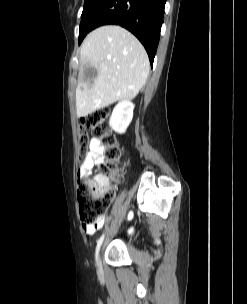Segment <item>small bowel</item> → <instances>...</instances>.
<instances>
[{
	"mask_svg": "<svg viewBox=\"0 0 247 304\" xmlns=\"http://www.w3.org/2000/svg\"><path fill=\"white\" fill-rule=\"evenodd\" d=\"M104 152L105 147L101 142L98 139H92L89 145V153L79 167L78 177L82 178L92 175L93 168L104 163ZM104 221V217H101L92 225H83V229L88 235H93L96 230L102 228Z\"/></svg>",
	"mask_w": 247,
	"mask_h": 304,
	"instance_id": "obj_1",
	"label": "small bowel"
}]
</instances>
